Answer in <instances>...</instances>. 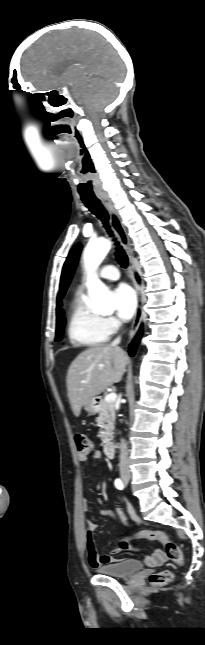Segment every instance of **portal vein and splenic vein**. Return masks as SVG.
I'll list each match as a JSON object with an SVG mask.
<instances>
[{"instance_id": "1", "label": "portal vein and splenic vein", "mask_w": 205, "mask_h": 645, "mask_svg": "<svg viewBox=\"0 0 205 645\" xmlns=\"http://www.w3.org/2000/svg\"><path fill=\"white\" fill-rule=\"evenodd\" d=\"M117 398V395L115 393H110L105 397V400L108 402H114Z\"/></svg>"}]
</instances>
